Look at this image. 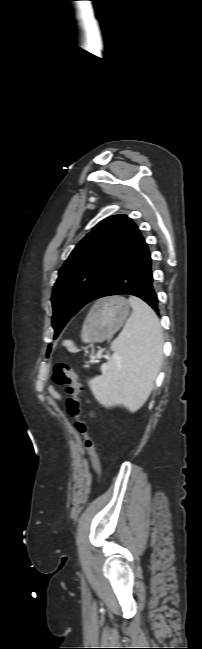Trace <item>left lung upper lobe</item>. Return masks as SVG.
Listing matches in <instances>:
<instances>
[{
  "label": "left lung upper lobe",
  "instance_id": "1",
  "mask_svg": "<svg viewBox=\"0 0 202 649\" xmlns=\"http://www.w3.org/2000/svg\"><path fill=\"white\" fill-rule=\"evenodd\" d=\"M140 230L126 215L101 221L70 254L53 287L52 326L56 338L68 320L91 302Z\"/></svg>",
  "mask_w": 202,
  "mask_h": 649
}]
</instances>
